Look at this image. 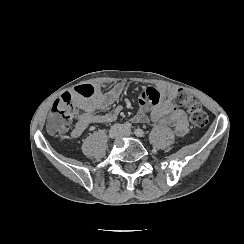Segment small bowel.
Returning <instances> with one entry per match:
<instances>
[{
	"mask_svg": "<svg viewBox=\"0 0 244 244\" xmlns=\"http://www.w3.org/2000/svg\"><path fill=\"white\" fill-rule=\"evenodd\" d=\"M93 89V93L84 96L78 90ZM125 83H118L106 90L105 83L87 84L77 87L71 94L80 114L71 131L73 137L80 136L93 123L109 124L117 120L121 109L116 108L105 114L99 112L114 104L125 92ZM177 90L170 86L149 87L138 94L139 110L133 117L134 122L156 123L173 130L176 137L182 138L189 133L187 114L173 104Z\"/></svg>",
	"mask_w": 244,
	"mask_h": 244,
	"instance_id": "c3829d8e",
	"label": "small bowel"
}]
</instances>
